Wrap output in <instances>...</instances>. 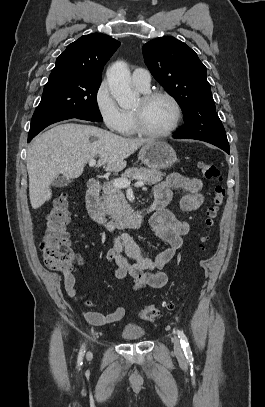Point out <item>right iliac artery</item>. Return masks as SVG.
Wrapping results in <instances>:
<instances>
[{
  "mask_svg": "<svg viewBox=\"0 0 265 407\" xmlns=\"http://www.w3.org/2000/svg\"><path fill=\"white\" fill-rule=\"evenodd\" d=\"M84 352L85 351H84V346H83L80 353H79V356H78V366L82 364L81 360H82V356H83Z\"/></svg>",
  "mask_w": 265,
  "mask_h": 407,
  "instance_id": "1",
  "label": "right iliac artery"
}]
</instances>
